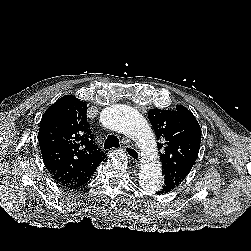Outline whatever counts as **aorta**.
<instances>
[{
  "mask_svg": "<svg viewBox=\"0 0 251 251\" xmlns=\"http://www.w3.org/2000/svg\"><path fill=\"white\" fill-rule=\"evenodd\" d=\"M100 121L106 128L135 140L144 156L139 174L140 186L149 194L160 190L163 176L156 151L155 137L147 120L129 106L114 105L101 112Z\"/></svg>",
  "mask_w": 251,
  "mask_h": 251,
  "instance_id": "1",
  "label": "aorta"
}]
</instances>
